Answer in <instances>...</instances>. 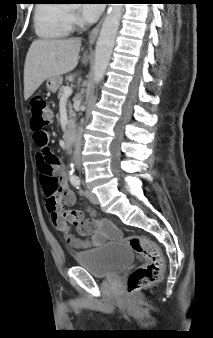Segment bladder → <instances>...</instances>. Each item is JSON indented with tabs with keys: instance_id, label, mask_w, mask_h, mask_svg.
Wrapping results in <instances>:
<instances>
[{
	"instance_id": "31cf9c89",
	"label": "bladder",
	"mask_w": 213,
	"mask_h": 338,
	"mask_svg": "<svg viewBox=\"0 0 213 338\" xmlns=\"http://www.w3.org/2000/svg\"><path fill=\"white\" fill-rule=\"evenodd\" d=\"M74 260L93 277L111 278L133 263L134 253L123 242H108L87 253L76 254Z\"/></svg>"
}]
</instances>
